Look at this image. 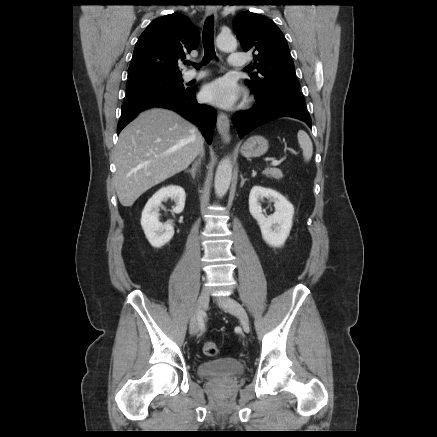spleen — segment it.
Instances as JSON below:
<instances>
[{
  "label": "spleen",
  "mask_w": 437,
  "mask_h": 437,
  "mask_svg": "<svg viewBox=\"0 0 437 437\" xmlns=\"http://www.w3.org/2000/svg\"><path fill=\"white\" fill-rule=\"evenodd\" d=\"M297 138L300 148L303 151L304 160L309 161L313 154V144L310 137L305 131L299 130L297 134Z\"/></svg>",
  "instance_id": "obj_1"
}]
</instances>
